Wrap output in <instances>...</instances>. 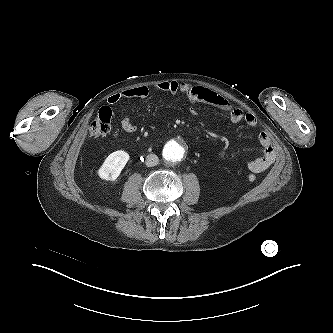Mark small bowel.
<instances>
[{
    "mask_svg": "<svg viewBox=\"0 0 333 333\" xmlns=\"http://www.w3.org/2000/svg\"><path fill=\"white\" fill-rule=\"evenodd\" d=\"M159 93L169 95H176L178 93L184 94L191 105L190 112L192 114L197 113L196 105L205 103L226 112L228 114L227 119L232 124L244 122L250 127H255L258 122L254 114L244 112L242 109L234 107L221 95L203 87L191 86L176 81L161 82L151 88L146 86L130 88L111 95L107 101L109 104H115L121 100L145 99L152 94ZM121 126L127 133L137 131V126L127 117L121 120ZM258 140L263 148V154L248 163V169L252 173L263 172L273 164L276 158L275 149L269 134L265 131L261 132L258 136Z\"/></svg>",
    "mask_w": 333,
    "mask_h": 333,
    "instance_id": "1",
    "label": "small bowel"
}]
</instances>
